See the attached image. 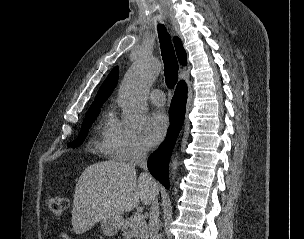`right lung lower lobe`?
I'll list each match as a JSON object with an SVG mask.
<instances>
[{
  "instance_id": "obj_1",
  "label": "right lung lower lobe",
  "mask_w": 304,
  "mask_h": 239,
  "mask_svg": "<svg viewBox=\"0 0 304 239\" xmlns=\"http://www.w3.org/2000/svg\"><path fill=\"white\" fill-rule=\"evenodd\" d=\"M186 100L187 85L185 81H180L171 101L169 113L171 123L167 137L158 150L152 153L148 158L147 165L150 173L167 189L169 188L168 164L174 144L184 121Z\"/></svg>"
}]
</instances>
